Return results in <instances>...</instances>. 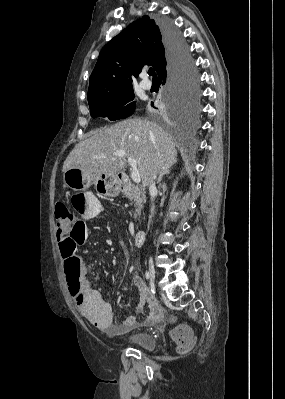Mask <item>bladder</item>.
<instances>
[{"instance_id": "bladder-1", "label": "bladder", "mask_w": 285, "mask_h": 399, "mask_svg": "<svg viewBox=\"0 0 285 399\" xmlns=\"http://www.w3.org/2000/svg\"><path fill=\"white\" fill-rule=\"evenodd\" d=\"M126 343L145 350H154L156 346L153 335L148 332L134 333L126 339Z\"/></svg>"}]
</instances>
